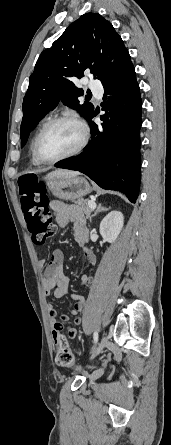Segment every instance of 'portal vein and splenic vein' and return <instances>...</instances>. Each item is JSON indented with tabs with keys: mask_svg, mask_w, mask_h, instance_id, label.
<instances>
[{
	"mask_svg": "<svg viewBox=\"0 0 171 445\" xmlns=\"http://www.w3.org/2000/svg\"><path fill=\"white\" fill-rule=\"evenodd\" d=\"M88 206H89L90 209H94L96 207V203L94 201H92V200H89L88 201Z\"/></svg>",
	"mask_w": 171,
	"mask_h": 445,
	"instance_id": "obj_1",
	"label": "portal vein and splenic vein"
}]
</instances>
